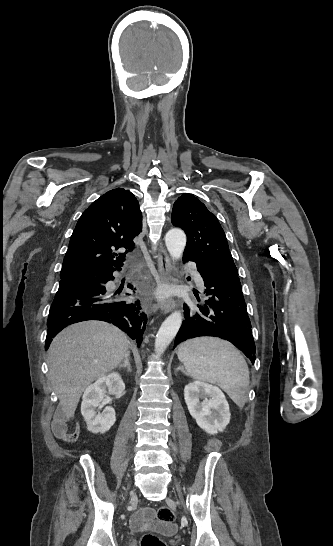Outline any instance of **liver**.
<instances>
[{
	"mask_svg": "<svg viewBox=\"0 0 333 546\" xmlns=\"http://www.w3.org/2000/svg\"><path fill=\"white\" fill-rule=\"evenodd\" d=\"M129 347L125 333L100 321H86L62 330L48 351L49 376L66 417H73L83 391L114 370Z\"/></svg>",
	"mask_w": 333,
	"mask_h": 546,
	"instance_id": "obj_1",
	"label": "liver"
}]
</instances>
